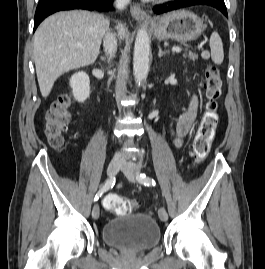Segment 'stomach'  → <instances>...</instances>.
<instances>
[{"label":"stomach","instance_id":"stomach-1","mask_svg":"<svg viewBox=\"0 0 265 269\" xmlns=\"http://www.w3.org/2000/svg\"><path fill=\"white\" fill-rule=\"evenodd\" d=\"M205 28L203 19L185 9L165 14L159 17L153 25L157 39H173L179 42L197 39Z\"/></svg>","mask_w":265,"mask_h":269}]
</instances>
